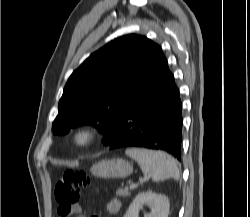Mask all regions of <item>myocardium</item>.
I'll list each match as a JSON object with an SVG mask.
<instances>
[{"label":"myocardium","mask_w":250,"mask_h":217,"mask_svg":"<svg viewBox=\"0 0 250 217\" xmlns=\"http://www.w3.org/2000/svg\"><path fill=\"white\" fill-rule=\"evenodd\" d=\"M96 138V133L91 126H82L75 130L72 136L73 144L80 149H86L91 147Z\"/></svg>","instance_id":"f54148a6"}]
</instances>
